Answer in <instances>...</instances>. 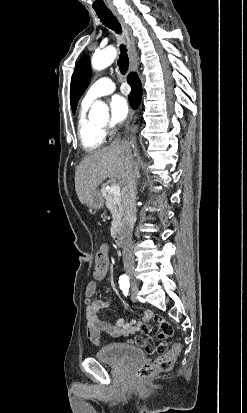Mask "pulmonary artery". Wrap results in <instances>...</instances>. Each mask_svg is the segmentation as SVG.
<instances>
[{
	"label": "pulmonary artery",
	"instance_id": "pulmonary-artery-1",
	"mask_svg": "<svg viewBox=\"0 0 247 413\" xmlns=\"http://www.w3.org/2000/svg\"><path fill=\"white\" fill-rule=\"evenodd\" d=\"M115 89V83L110 77L102 76L95 80L87 89L83 102L90 104L95 99L110 94Z\"/></svg>",
	"mask_w": 247,
	"mask_h": 413
}]
</instances>
